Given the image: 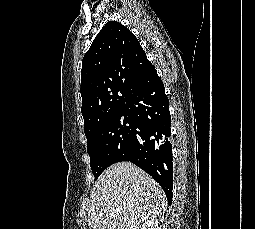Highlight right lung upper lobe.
Instances as JSON below:
<instances>
[{"mask_svg":"<svg viewBox=\"0 0 255 229\" xmlns=\"http://www.w3.org/2000/svg\"><path fill=\"white\" fill-rule=\"evenodd\" d=\"M154 69L127 27L116 21L105 24L82 60L81 113L86 138L123 111L138 81Z\"/></svg>","mask_w":255,"mask_h":229,"instance_id":"obj_1","label":"right lung upper lobe"}]
</instances>
